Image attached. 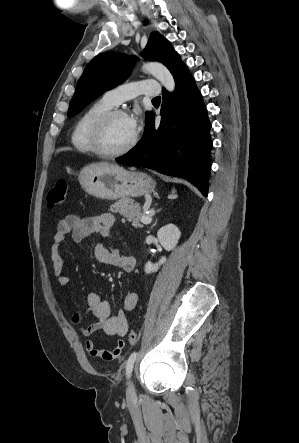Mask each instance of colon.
<instances>
[{
  "label": "colon",
  "instance_id": "colon-1",
  "mask_svg": "<svg viewBox=\"0 0 299 443\" xmlns=\"http://www.w3.org/2000/svg\"><path fill=\"white\" fill-rule=\"evenodd\" d=\"M67 192V182L65 180H58L47 195V207L49 209H54L63 204L66 199ZM127 339L131 345H134L138 341V334L134 330H130L127 334Z\"/></svg>",
  "mask_w": 299,
  "mask_h": 443
}]
</instances>
